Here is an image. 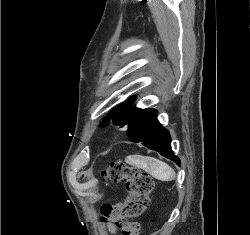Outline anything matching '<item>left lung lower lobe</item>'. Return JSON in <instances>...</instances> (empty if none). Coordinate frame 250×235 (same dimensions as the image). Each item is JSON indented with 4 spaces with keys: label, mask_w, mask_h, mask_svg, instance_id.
<instances>
[{
    "label": "left lung lower lobe",
    "mask_w": 250,
    "mask_h": 235,
    "mask_svg": "<svg viewBox=\"0 0 250 235\" xmlns=\"http://www.w3.org/2000/svg\"><path fill=\"white\" fill-rule=\"evenodd\" d=\"M127 126L133 142H143L145 147L159 152L180 165V159L171 149L170 134L157 120L156 110L131 107Z\"/></svg>",
    "instance_id": "left-lung-lower-lobe-1"
}]
</instances>
